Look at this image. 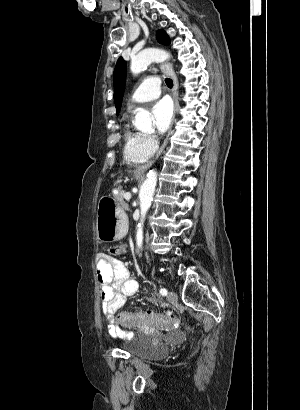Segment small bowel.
I'll list each match as a JSON object with an SVG mask.
<instances>
[{
    "label": "small bowel",
    "instance_id": "small-bowel-1",
    "mask_svg": "<svg viewBox=\"0 0 300 410\" xmlns=\"http://www.w3.org/2000/svg\"><path fill=\"white\" fill-rule=\"evenodd\" d=\"M96 277L100 285L102 311L109 321L110 335L122 339L131 338L133 333L115 324L114 316L126 298L137 292V281L130 276L121 261L107 254H99L96 258Z\"/></svg>",
    "mask_w": 300,
    "mask_h": 410
}]
</instances>
